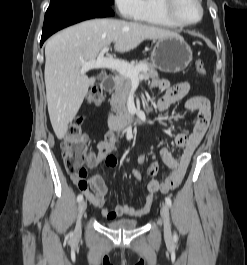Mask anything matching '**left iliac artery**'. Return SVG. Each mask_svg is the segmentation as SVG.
I'll list each match as a JSON object with an SVG mask.
<instances>
[{"mask_svg": "<svg viewBox=\"0 0 247 265\" xmlns=\"http://www.w3.org/2000/svg\"><path fill=\"white\" fill-rule=\"evenodd\" d=\"M165 202H166V204H167L169 207H171L172 202H171V199H170L169 197H166V198H165ZM174 238H175V239L177 238V234H176V233L174 234Z\"/></svg>", "mask_w": 247, "mask_h": 265, "instance_id": "44dca946", "label": "left iliac artery"}]
</instances>
